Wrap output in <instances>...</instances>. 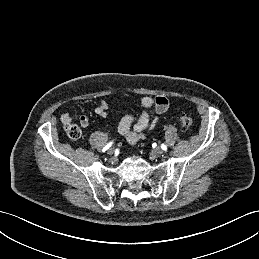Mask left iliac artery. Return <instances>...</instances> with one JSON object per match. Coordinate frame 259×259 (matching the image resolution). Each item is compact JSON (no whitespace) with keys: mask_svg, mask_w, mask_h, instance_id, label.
Instances as JSON below:
<instances>
[{"mask_svg":"<svg viewBox=\"0 0 259 259\" xmlns=\"http://www.w3.org/2000/svg\"><path fill=\"white\" fill-rule=\"evenodd\" d=\"M161 148H162L163 150H167V146H166L165 144H162V145H161Z\"/></svg>","mask_w":259,"mask_h":259,"instance_id":"left-iliac-artery-1","label":"left iliac artery"}]
</instances>
